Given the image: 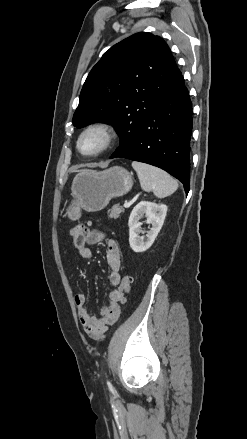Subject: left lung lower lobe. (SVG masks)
Returning <instances> with one entry per match:
<instances>
[{
    "label": "left lung lower lobe",
    "instance_id": "1",
    "mask_svg": "<svg viewBox=\"0 0 247 439\" xmlns=\"http://www.w3.org/2000/svg\"><path fill=\"white\" fill-rule=\"evenodd\" d=\"M191 101L183 77L160 96L153 112L135 132L130 144L110 158L122 157L159 167L189 186Z\"/></svg>",
    "mask_w": 247,
    "mask_h": 439
}]
</instances>
